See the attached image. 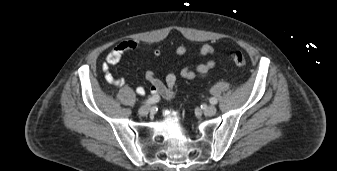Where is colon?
I'll return each instance as SVG.
<instances>
[{
  "label": "colon",
  "instance_id": "obj_1",
  "mask_svg": "<svg viewBox=\"0 0 337 171\" xmlns=\"http://www.w3.org/2000/svg\"><path fill=\"white\" fill-rule=\"evenodd\" d=\"M230 58L237 66L242 67L247 63L246 57L241 51H231Z\"/></svg>",
  "mask_w": 337,
  "mask_h": 171
}]
</instances>
